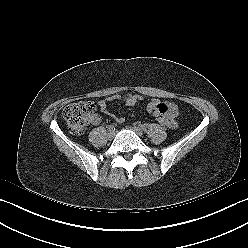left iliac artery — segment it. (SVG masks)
<instances>
[{"mask_svg": "<svg viewBox=\"0 0 248 248\" xmlns=\"http://www.w3.org/2000/svg\"><path fill=\"white\" fill-rule=\"evenodd\" d=\"M139 128L141 129V130H146V125H143V124H139Z\"/></svg>", "mask_w": 248, "mask_h": 248, "instance_id": "44dca946", "label": "left iliac artery"}]
</instances>
